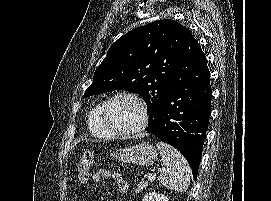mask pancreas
<instances>
[{
    "instance_id": "cf45deb5",
    "label": "pancreas",
    "mask_w": 271,
    "mask_h": 201,
    "mask_svg": "<svg viewBox=\"0 0 271 201\" xmlns=\"http://www.w3.org/2000/svg\"><path fill=\"white\" fill-rule=\"evenodd\" d=\"M149 186L147 181L141 180L138 185L137 189L135 190L136 193H140L143 189H146Z\"/></svg>"
}]
</instances>
